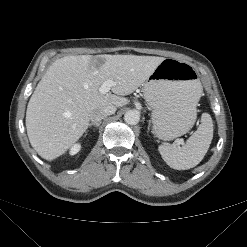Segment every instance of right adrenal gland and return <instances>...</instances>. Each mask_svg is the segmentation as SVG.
I'll return each mask as SVG.
<instances>
[{
  "label": "right adrenal gland",
  "instance_id": "2a0ac1e0",
  "mask_svg": "<svg viewBox=\"0 0 247 247\" xmlns=\"http://www.w3.org/2000/svg\"><path fill=\"white\" fill-rule=\"evenodd\" d=\"M100 124H101L100 122H99V123H90V124H89V128H90L91 126H95L96 128H98V127L100 126ZM86 134H87V132H86ZM86 134H85V135H86Z\"/></svg>",
  "mask_w": 247,
  "mask_h": 247
}]
</instances>
